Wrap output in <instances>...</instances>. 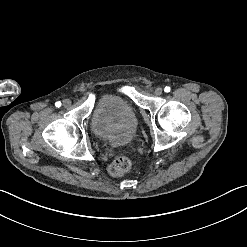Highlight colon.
I'll return each mask as SVG.
<instances>
[{
  "instance_id": "5ec220e1",
  "label": "colon",
  "mask_w": 247,
  "mask_h": 247,
  "mask_svg": "<svg viewBox=\"0 0 247 247\" xmlns=\"http://www.w3.org/2000/svg\"><path fill=\"white\" fill-rule=\"evenodd\" d=\"M128 166H132L131 160L126 156H119L110 163L109 173L112 176H121L127 172Z\"/></svg>"
}]
</instances>
